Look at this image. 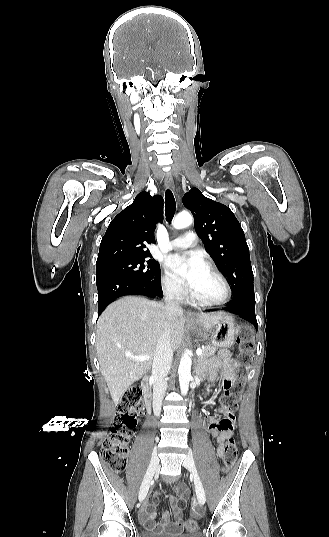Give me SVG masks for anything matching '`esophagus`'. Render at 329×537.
I'll return each instance as SVG.
<instances>
[{
  "mask_svg": "<svg viewBox=\"0 0 329 537\" xmlns=\"http://www.w3.org/2000/svg\"><path fill=\"white\" fill-rule=\"evenodd\" d=\"M165 186L171 190L174 189V182L171 174H166L165 176ZM191 315V313H189Z\"/></svg>",
  "mask_w": 329,
  "mask_h": 537,
  "instance_id": "1",
  "label": "esophagus"
}]
</instances>
